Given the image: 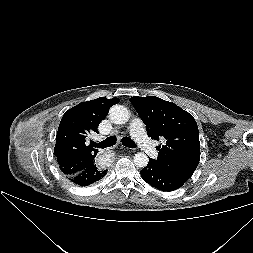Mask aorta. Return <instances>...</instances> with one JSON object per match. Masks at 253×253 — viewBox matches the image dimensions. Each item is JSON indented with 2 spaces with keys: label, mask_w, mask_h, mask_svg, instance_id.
Segmentation results:
<instances>
[{
  "label": "aorta",
  "mask_w": 253,
  "mask_h": 253,
  "mask_svg": "<svg viewBox=\"0 0 253 253\" xmlns=\"http://www.w3.org/2000/svg\"><path fill=\"white\" fill-rule=\"evenodd\" d=\"M109 118L115 124H125L130 119V113L122 105H114L109 110ZM148 157L144 153H137L134 156V164L137 167L144 168L148 164Z\"/></svg>",
  "instance_id": "762f6f07"
}]
</instances>
